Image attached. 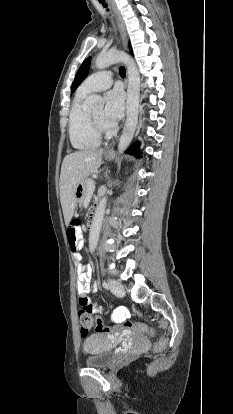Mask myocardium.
Segmentation results:
<instances>
[{"label": "myocardium", "instance_id": "obj_1", "mask_svg": "<svg viewBox=\"0 0 233 414\" xmlns=\"http://www.w3.org/2000/svg\"><path fill=\"white\" fill-rule=\"evenodd\" d=\"M89 122H90V126L91 129L93 130V132L95 134H97L98 136H108L110 134H112L115 130L114 125H111L109 127H104L102 126L94 117V115L92 114L91 111H89Z\"/></svg>", "mask_w": 233, "mask_h": 414}]
</instances>
